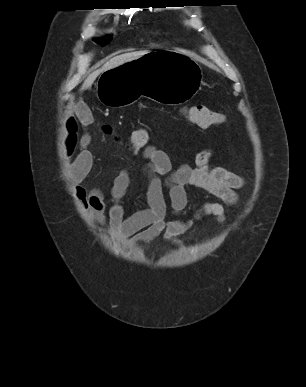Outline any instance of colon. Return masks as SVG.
Returning <instances> with one entry per match:
<instances>
[{"label":"colon","instance_id":"1","mask_svg":"<svg viewBox=\"0 0 306 387\" xmlns=\"http://www.w3.org/2000/svg\"><path fill=\"white\" fill-rule=\"evenodd\" d=\"M185 116L188 121L201 127L208 128L221 124L224 117L221 113L210 109L205 105H195L186 109ZM104 134L119 141L131 153L143 150L149 143V133L144 127L135 129L126 142H122L109 125L102 127Z\"/></svg>","mask_w":306,"mask_h":387}]
</instances>
